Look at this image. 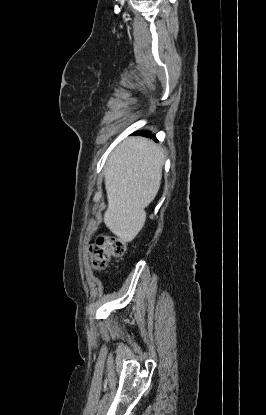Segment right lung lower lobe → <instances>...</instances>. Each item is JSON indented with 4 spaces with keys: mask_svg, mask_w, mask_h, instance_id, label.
I'll use <instances>...</instances> for the list:
<instances>
[{
    "mask_svg": "<svg viewBox=\"0 0 266 415\" xmlns=\"http://www.w3.org/2000/svg\"><path fill=\"white\" fill-rule=\"evenodd\" d=\"M140 134L141 135H147V136H150V133L149 132H147V131H141L140 132ZM151 137V136H150ZM153 137L155 138V136L153 135Z\"/></svg>",
    "mask_w": 266,
    "mask_h": 415,
    "instance_id": "1",
    "label": "right lung lower lobe"
}]
</instances>
